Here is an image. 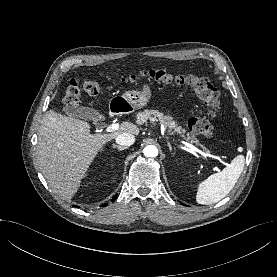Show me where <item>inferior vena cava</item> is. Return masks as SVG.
Masks as SVG:
<instances>
[{
	"label": "inferior vena cava",
	"instance_id": "obj_1",
	"mask_svg": "<svg viewBox=\"0 0 277 277\" xmlns=\"http://www.w3.org/2000/svg\"><path fill=\"white\" fill-rule=\"evenodd\" d=\"M134 142H135L134 135L129 133L121 134L116 137V143L124 147L131 146L132 144H134Z\"/></svg>",
	"mask_w": 277,
	"mask_h": 277
}]
</instances>
